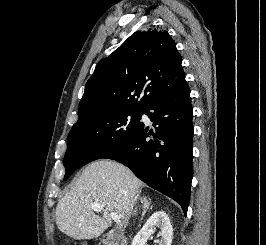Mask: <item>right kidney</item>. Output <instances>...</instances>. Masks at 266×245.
Segmentation results:
<instances>
[{"mask_svg":"<svg viewBox=\"0 0 266 245\" xmlns=\"http://www.w3.org/2000/svg\"><path fill=\"white\" fill-rule=\"evenodd\" d=\"M160 229V241L158 245H171L173 239V229L169 217L164 211H156L149 217L147 223L142 227L141 231L137 233L132 241V245H145L149 237L154 235L155 229Z\"/></svg>","mask_w":266,"mask_h":245,"instance_id":"obj_1","label":"right kidney"}]
</instances>
